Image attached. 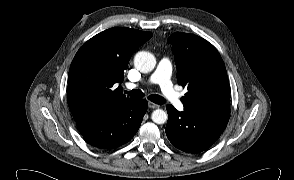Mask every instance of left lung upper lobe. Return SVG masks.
<instances>
[{
    "instance_id": "obj_1",
    "label": "left lung upper lobe",
    "mask_w": 294,
    "mask_h": 180,
    "mask_svg": "<svg viewBox=\"0 0 294 180\" xmlns=\"http://www.w3.org/2000/svg\"><path fill=\"white\" fill-rule=\"evenodd\" d=\"M168 43L175 56L178 84L188 89L184 110L229 114V81L216 48L197 35L180 32L172 34Z\"/></svg>"
}]
</instances>
